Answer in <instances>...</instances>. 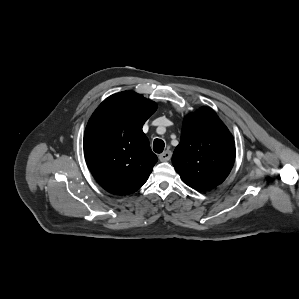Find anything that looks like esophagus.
Segmentation results:
<instances>
[{"label": "esophagus", "mask_w": 299, "mask_h": 299, "mask_svg": "<svg viewBox=\"0 0 299 299\" xmlns=\"http://www.w3.org/2000/svg\"><path fill=\"white\" fill-rule=\"evenodd\" d=\"M172 152L170 150H166L159 155V160L162 162L169 161L171 159Z\"/></svg>", "instance_id": "34e87169"}]
</instances>
